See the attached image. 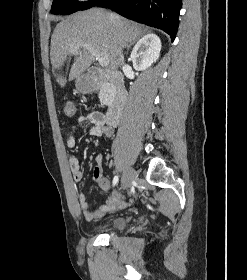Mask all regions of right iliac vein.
Returning a JSON list of instances; mask_svg holds the SVG:
<instances>
[{
	"label": "right iliac vein",
	"mask_w": 247,
	"mask_h": 280,
	"mask_svg": "<svg viewBox=\"0 0 247 280\" xmlns=\"http://www.w3.org/2000/svg\"><path fill=\"white\" fill-rule=\"evenodd\" d=\"M135 171L132 168H126L123 172V188H128L135 179Z\"/></svg>",
	"instance_id": "right-iliac-vein-1"
}]
</instances>
